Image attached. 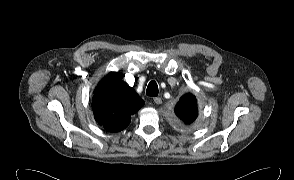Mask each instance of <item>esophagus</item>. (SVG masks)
Returning <instances> with one entry per match:
<instances>
[{
	"mask_svg": "<svg viewBox=\"0 0 294 180\" xmlns=\"http://www.w3.org/2000/svg\"><path fill=\"white\" fill-rule=\"evenodd\" d=\"M153 101H154L155 104H161L162 103V100H161L160 97H154Z\"/></svg>",
	"mask_w": 294,
	"mask_h": 180,
	"instance_id": "1",
	"label": "esophagus"
}]
</instances>
